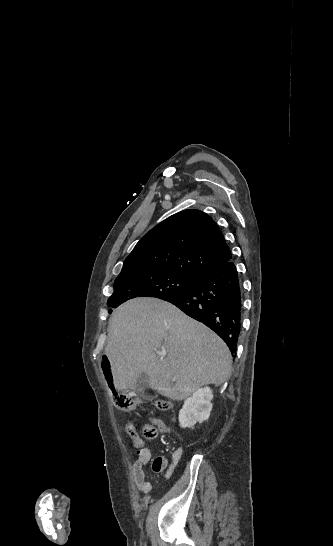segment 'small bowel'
I'll return each instance as SVG.
<instances>
[{"instance_id":"c3829d8e","label":"small bowel","mask_w":333,"mask_h":546,"mask_svg":"<svg viewBox=\"0 0 333 546\" xmlns=\"http://www.w3.org/2000/svg\"><path fill=\"white\" fill-rule=\"evenodd\" d=\"M154 422L162 434H170V429L164 422L158 419L154 420ZM130 437L132 439L133 446L135 447L137 451V459L133 463L134 480H135L137 488L141 492L148 493L151 490V484L146 479L145 467L152 460L151 452L149 448L145 446L144 441L141 439V437L137 434L136 431L134 432L133 435H130ZM182 454H183L182 448L176 449L172 455L170 465L168 464L167 459L164 458L163 456H158L154 458L152 461V470L154 472H162L164 470H167L168 473H172L173 469L179 463L182 457Z\"/></svg>"}]
</instances>
